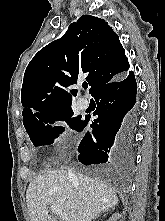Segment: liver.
<instances>
[{
	"instance_id": "liver-1",
	"label": "liver",
	"mask_w": 165,
	"mask_h": 221,
	"mask_svg": "<svg viewBox=\"0 0 165 221\" xmlns=\"http://www.w3.org/2000/svg\"><path fill=\"white\" fill-rule=\"evenodd\" d=\"M73 174L70 176L66 169L46 170L30 182L26 192L30 221H48L51 204L67 214L66 221H91L118 204L117 195L108 184L81 173Z\"/></svg>"
}]
</instances>
